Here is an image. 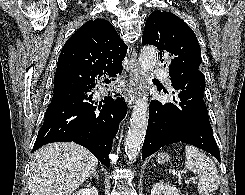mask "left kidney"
I'll list each match as a JSON object with an SVG mask.
<instances>
[{
    "label": "left kidney",
    "instance_id": "1",
    "mask_svg": "<svg viewBox=\"0 0 245 195\" xmlns=\"http://www.w3.org/2000/svg\"><path fill=\"white\" fill-rule=\"evenodd\" d=\"M151 195H181L179 190L169 184L163 182L156 183L152 190Z\"/></svg>",
    "mask_w": 245,
    "mask_h": 195
}]
</instances>
